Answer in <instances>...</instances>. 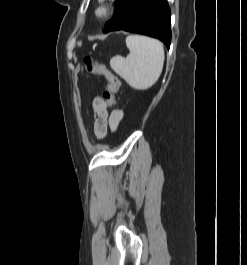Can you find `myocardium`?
Wrapping results in <instances>:
<instances>
[{
  "mask_svg": "<svg viewBox=\"0 0 247 265\" xmlns=\"http://www.w3.org/2000/svg\"><path fill=\"white\" fill-rule=\"evenodd\" d=\"M115 10V5L105 0H99L94 9V17L98 20H104L110 17Z\"/></svg>",
  "mask_w": 247,
  "mask_h": 265,
  "instance_id": "obj_1",
  "label": "myocardium"
}]
</instances>
